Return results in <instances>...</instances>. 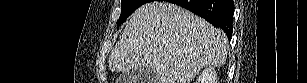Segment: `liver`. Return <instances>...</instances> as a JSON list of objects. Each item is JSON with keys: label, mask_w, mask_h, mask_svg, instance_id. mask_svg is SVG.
<instances>
[{"label": "liver", "mask_w": 307, "mask_h": 83, "mask_svg": "<svg viewBox=\"0 0 307 83\" xmlns=\"http://www.w3.org/2000/svg\"><path fill=\"white\" fill-rule=\"evenodd\" d=\"M228 39L204 19L167 2L138 8L109 57L112 72L150 68L154 83H191L203 67H221Z\"/></svg>", "instance_id": "liver-1"}]
</instances>
